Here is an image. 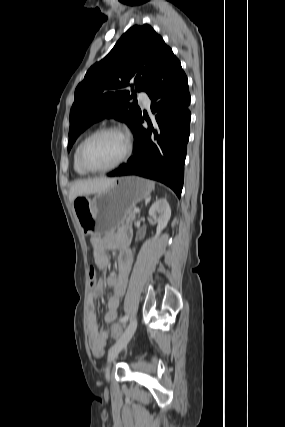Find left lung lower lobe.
<instances>
[{"mask_svg": "<svg viewBox=\"0 0 285 427\" xmlns=\"http://www.w3.org/2000/svg\"><path fill=\"white\" fill-rule=\"evenodd\" d=\"M146 92L154 120H148L145 129L141 115L133 129L134 155L107 175L153 179L169 186L180 197L189 139L190 94L187 77L172 51Z\"/></svg>", "mask_w": 285, "mask_h": 427, "instance_id": "1", "label": "left lung lower lobe"}]
</instances>
